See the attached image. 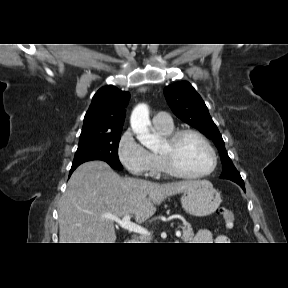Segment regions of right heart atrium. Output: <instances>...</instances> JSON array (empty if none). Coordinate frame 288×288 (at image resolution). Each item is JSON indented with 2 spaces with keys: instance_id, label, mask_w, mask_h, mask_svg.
<instances>
[{
  "instance_id": "1",
  "label": "right heart atrium",
  "mask_w": 288,
  "mask_h": 288,
  "mask_svg": "<svg viewBox=\"0 0 288 288\" xmlns=\"http://www.w3.org/2000/svg\"><path fill=\"white\" fill-rule=\"evenodd\" d=\"M117 155L121 164L133 175L154 177L153 155L133 136L130 130L125 131L117 147Z\"/></svg>"
}]
</instances>
